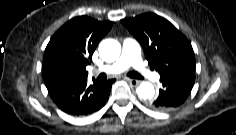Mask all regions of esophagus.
I'll return each instance as SVG.
<instances>
[{"instance_id": "1", "label": "esophagus", "mask_w": 236, "mask_h": 135, "mask_svg": "<svg viewBox=\"0 0 236 135\" xmlns=\"http://www.w3.org/2000/svg\"><path fill=\"white\" fill-rule=\"evenodd\" d=\"M126 80L132 85V86H137L140 81L136 80V79H131V78H126Z\"/></svg>"}]
</instances>
